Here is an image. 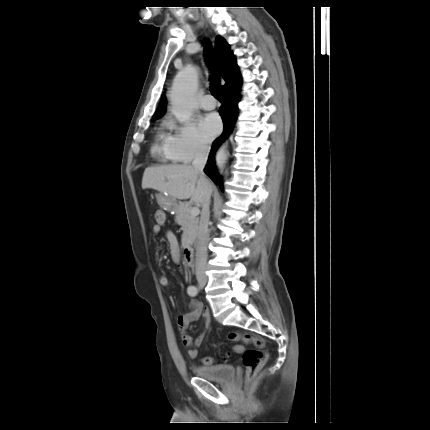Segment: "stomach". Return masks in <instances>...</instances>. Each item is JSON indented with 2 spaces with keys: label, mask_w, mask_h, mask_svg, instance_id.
I'll return each instance as SVG.
<instances>
[{
  "label": "stomach",
  "mask_w": 430,
  "mask_h": 430,
  "mask_svg": "<svg viewBox=\"0 0 430 430\" xmlns=\"http://www.w3.org/2000/svg\"><path fill=\"white\" fill-rule=\"evenodd\" d=\"M157 202L161 208L171 211L177 207L176 201L171 196H166L164 193H159L156 195Z\"/></svg>",
  "instance_id": "1"
}]
</instances>
